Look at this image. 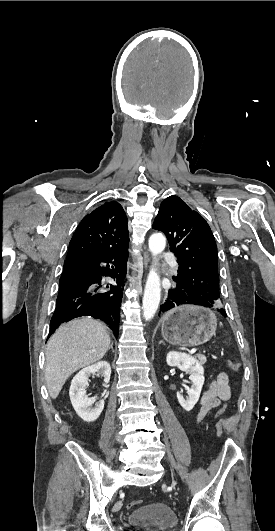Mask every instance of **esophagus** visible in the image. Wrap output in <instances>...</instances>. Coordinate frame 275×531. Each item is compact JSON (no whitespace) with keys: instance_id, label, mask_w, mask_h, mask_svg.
Masks as SVG:
<instances>
[{"instance_id":"obj_1","label":"esophagus","mask_w":275,"mask_h":531,"mask_svg":"<svg viewBox=\"0 0 275 531\" xmlns=\"http://www.w3.org/2000/svg\"><path fill=\"white\" fill-rule=\"evenodd\" d=\"M143 262H144L145 269H147L149 266V262H150L149 253L147 251H145L143 254Z\"/></svg>"}]
</instances>
